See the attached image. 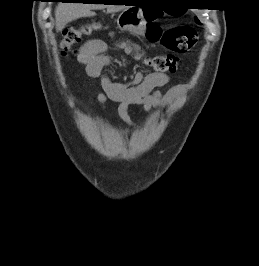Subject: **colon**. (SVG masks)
<instances>
[{"label":"colon","mask_w":259,"mask_h":266,"mask_svg":"<svg viewBox=\"0 0 259 266\" xmlns=\"http://www.w3.org/2000/svg\"><path fill=\"white\" fill-rule=\"evenodd\" d=\"M158 11L148 9L146 18L148 20L147 38L151 42L160 43L170 53L155 55L145 59V64L157 73H174L179 68L180 59L177 54L186 53L196 45L198 41L197 32L190 26H176L163 30L154 21L160 17ZM99 28L97 22H90L73 26L65 29L61 41V50L63 53L71 51L73 47L85 36L92 34ZM127 53L131 49L125 48Z\"/></svg>","instance_id":"1"}]
</instances>
